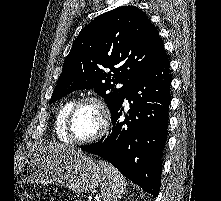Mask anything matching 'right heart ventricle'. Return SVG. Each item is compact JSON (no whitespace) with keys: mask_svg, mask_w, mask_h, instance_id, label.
<instances>
[{"mask_svg":"<svg viewBox=\"0 0 221 201\" xmlns=\"http://www.w3.org/2000/svg\"><path fill=\"white\" fill-rule=\"evenodd\" d=\"M75 99H68L65 101L59 108L56 117H55V130L58 138L66 143H71L65 128L66 118L68 112L72 105L74 104Z\"/></svg>","mask_w":221,"mask_h":201,"instance_id":"e07e8e85","label":"right heart ventricle"}]
</instances>
